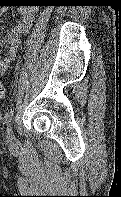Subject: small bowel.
Segmentation results:
<instances>
[{
	"mask_svg": "<svg viewBox=\"0 0 121 197\" xmlns=\"http://www.w3.org/2000/svg\"><path fill=\"white\" fill-rule=\"evenodd\" d=\"M8 10V7H0V16ZM20 21L7 31L4 37L0 38V75L5 74L16 57V51L21 35L25 34L33 21V12L30 8L22 7L19 9ZM3 49L6 53L1 55Z\"/></svg>",
	"mask_w": 121,
	"mask_h": 197,
	"instance_id": "obj_1",
	"label": "small bowel"
}]
</instances>
